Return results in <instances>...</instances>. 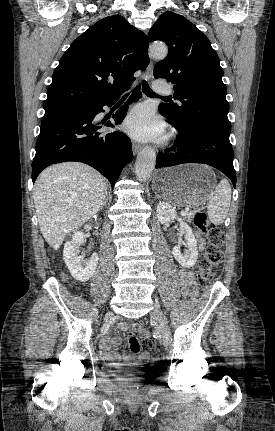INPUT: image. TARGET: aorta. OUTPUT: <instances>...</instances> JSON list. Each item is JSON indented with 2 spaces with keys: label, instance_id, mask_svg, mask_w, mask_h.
Listing matches in <instances>:
<instances>
[{
  "label": "aorta",
  "instance_id": "762f6f07",
  "mask_svg": "<svg viewBox=\"0 0 275 431\" xmlns=\"http://www.w3.org/2000/svg\"><path fill=\"white\" fill-rule=\"evenodd\" d=\"M168 53V49L164 44H153L150 47L149 55L154 59H164ZM156 164V153L150 147H145L138 154L135 163V174L140 181H146Z\"/></svg>",
  "mask_w": 275,
  "mask_h": 431
}]
</instances>
